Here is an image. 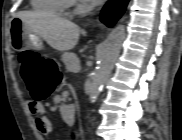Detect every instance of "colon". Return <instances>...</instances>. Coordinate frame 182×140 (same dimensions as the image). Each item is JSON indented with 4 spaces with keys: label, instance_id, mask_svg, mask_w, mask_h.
Segmentation results:
<instances>
[{
    "label": "colon",
    "instance_id": "1",
    "mask_svg": "<svg viewBox=\"0 0 182 140\" xmlns=\"http://www.w3.org/2000/svg\"><path fill=\"white\" fill-rule=\"evenodd\" d=\"M21 74L34 101L48 98L60 80L57 63L32 51L20 55Z\"/></svg>",
    "mask_w": 182,
    "mask_h": 140
}]
</instances>
